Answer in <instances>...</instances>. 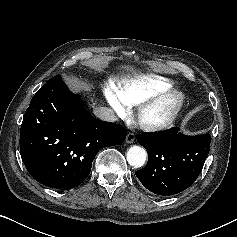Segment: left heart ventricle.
Returning a JSON list of instances; mask_svg holds the SVG:
<instances>
[{
    "label": "left heart ventricle",
    "instance_id": "b2bd125f",
    "mask_svg": "<svg viewBox=\"0 0 237 237\" xmlns=\"http://www.w3.org/2000/svg\"><path fill=\"white\" fill-rule=\"evenodd\" d=\"M167 109H168V105H165L156 110L149 111L146 113L145 119L150 120V121L159 120L164 116Z\"/></svg>",
    "mask_w": 237,
    "mask_h": 237
}]
</instances>
